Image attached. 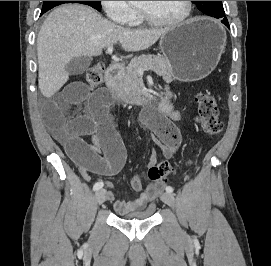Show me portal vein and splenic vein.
I'll list each match as a JSON object with an SVG mask.
<instances>
[{"instance_id":"1","label":"portal vein and splenic vein","mask_w":271,"mask_h":266,"mask_svg":"<svg viewBox=\"0 0 271 266\" xmlns=\"http://www.w3.org/2000/svg\"><path fill=\"white\" fill-rule=\"evenodd\" d=\"M112 52H113V47H112V46H109V47L107 48V50H106V53H107V54H112ZM143 71H144L143 69L139 68V73H140V74H142Z\"/></svg>"}]
</instances>
